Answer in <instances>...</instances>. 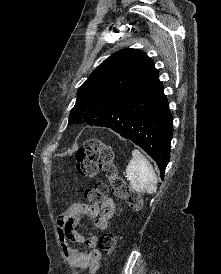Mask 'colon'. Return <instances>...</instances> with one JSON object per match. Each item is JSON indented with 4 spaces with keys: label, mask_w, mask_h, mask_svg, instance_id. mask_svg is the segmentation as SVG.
I'll return each mask as SVG.
<instances>
[{
    "label": "colon",
    "mask_w": 221,
    "mask_h": 274,
    "mask_svg": "<svg viewBox=\"0 0 221 274\" xmlns=\"http://www.w3.org/2000/svg\"><path fill=\"white\" fill-rule=\"evenodd\" d=\"M76 169L81 176L95 179L102 172L109 180L113 193L124 199L134 210L142 206V196L129 187L127 182L118 174L113 161L112 149L97 139L86 141L76 152ZM108 186L96 182L85 190L86 199L92 204L103 203L108 195ZM116 246V237L106 232L98 239V247L108 257H111Z\"/></svg>",
    "instance_id": "colon-1"
}]
</instances>
